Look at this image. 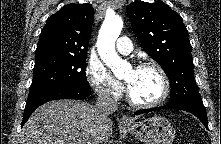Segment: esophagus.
<instances>
[{
	"label": "esophagus",
	"mask_w": 221,
	"mask_h": 144,
	"mask_svg": "<svg viewBox=\"0 0 221 144\" xmlns=\"http://www.w3.org/2000/svg\"><path fill=\"white\" fill-rule=\"evenodd\" d=\"M120 121H121L122 124H131V122H132L131 119L129 117L125 116V115L122 116Z\"/></svg>",
	"instance_id": "34e87169"
}]
</instances>
